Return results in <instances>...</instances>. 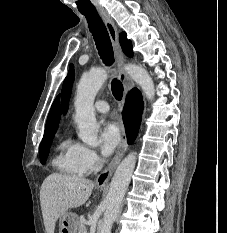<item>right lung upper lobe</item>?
Returning <instances> with one entry per match:
<instances>
[{"label":"right lung upper lobe","instance_id":"1","mask_svg":"<svg viewBox=\"0 0 227 233\" xmlns=\"http://www.w3.org/2000/svg\"><path fill=\"white\" fill-rule=\"evenodd\" d=\"M59 119H60V106H59V96H58L53 102L52 107L50 109L42 142L50 140L51 138L54 137V134L56 132L59 123Z\"/></svg>","mask_w":227,"mask_h":233}]
</instances>
